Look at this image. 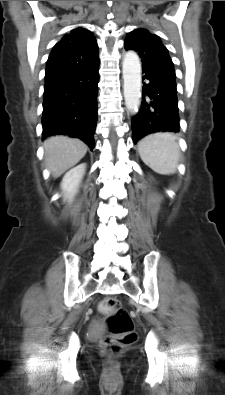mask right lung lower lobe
Listing matches in <instances>:
<instances>
[{"label": "right lung lower lobe", "mask_w": 225, "mask_h": 395, "mask_svg": "<svg viewBox=\"0 0 225 395\" xmlns=\"http://www.w3.org/2000/svg\"><path fill=\"white\" fill-rule=\"evenodd\" d=\"M99 59L92 65L46 80L43 101V139L68 135L83 140L92 150L97 122Z\"/></svg>", "instance_id": "right-lung-lower-lobe-1"}]
</instances>
